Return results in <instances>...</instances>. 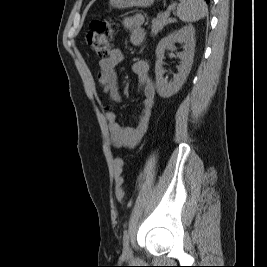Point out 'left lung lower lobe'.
I'll use <instances>...</instances> for the list:
<instances>
[{
	"mask_svg": "<svg viewBox=\"0 0 267 267\" xmlns=\"http://www.w3.org/2000/svg\"><path fill=\"white\" fill-rule=\"evenodd\" d=\"M207 3H209L210 2V0H205Z\"/></svg>",
	"mask_w": 267,
	"mask_h": 267,
	"instance_id": "obj_1",
	"label": "left lung lower lobe"
}]
</instances>
